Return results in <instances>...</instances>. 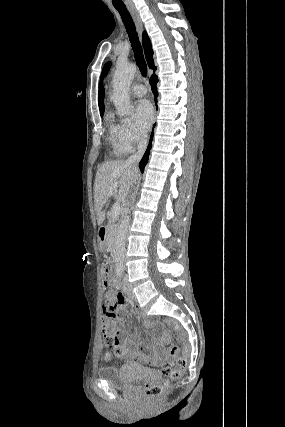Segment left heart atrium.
<instances>
[{"instance_id":"obj_1","label":"left heart atrium","mask_w":285,"mask_h":427,"mask_svg":"<svg viewBox=\"0 0 285 427\" xmlns=\"http://www.w3.org/2000/svg\"><path fill=\"white\" fill-rule=\"evenodd\" d=\"M133 117L142 131H146L152 123L154 111L150 102L142 99L136 102L133 111Z\"/></svg>"}]
</instances>
